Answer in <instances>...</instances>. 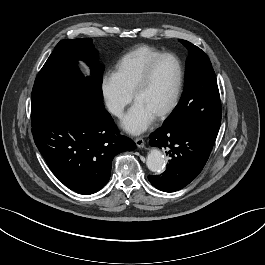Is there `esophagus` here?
<instances>
[{
	"label": "esophagus",
	"mask_w": 265,
	"mask_h": 265,
	"mask_svg": "<svg viewBox=\"0 0 265 265\" xmlns=\"http://www.w3.org/2000/svg\"><path fill=\"white\" fill-rule=\"evenodd\" d=\"M135 143L139 148H143L145 146L144 139L139 137L135 139Z\"/></svg>",
	"instance_id": "esophagus-1"
}]
</instances>
